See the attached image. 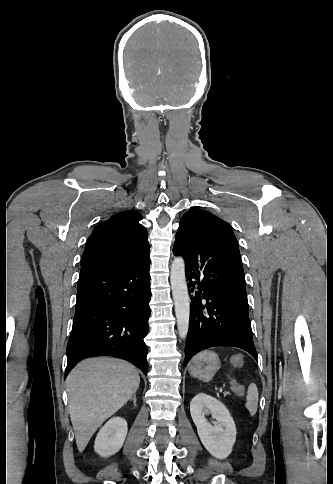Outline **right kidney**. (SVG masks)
Returning <instances> with one entry per match:
<instances>
[{
	"mask_svg": "<svg viewBox=\"0 0 333 484\" xmlns=\"http://www.w3.org/2000/svg\"><path fill=\"white\" fill-rule=\"evenodd\" d=\"M128 431L127 422L121 417L110 419L99 431L94 450L101 457H109L117 453L123 446Z\"/></svg>",
	"mask_w": 333,
	"mask_h": 484,
	"instance_id": "obj_1",
	"label": "right kidney"
}]
</instances>
